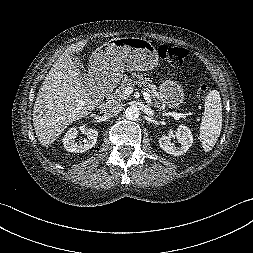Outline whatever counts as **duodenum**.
<instances>
[{"label":"duodenum","mask_w":253,"mask_h":253,"mask_svg":"<svg viewBox=\"0 0 253 253\" xmlns=\"http://www.w3.org/2000/svg\"><path fill=\"white\" fill-rule=\"evenodd\" d=\"M111 101V92L108 89H104L100 95V105L106 107Z\"/></svg>","instance_id":"1"}]
</instances>
